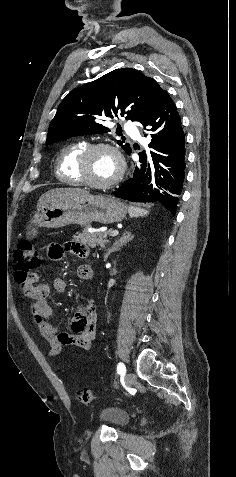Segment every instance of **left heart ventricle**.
Here are the masks:
<instances>
[{"label":"left heart ventricle","mask_w":236,"mask_h":477,"mask_svg":"<svg viewBox=\"0 0 236 477\" xmlns=\"http://www.w3.org/2000/svg\"><path fill=\"white\" fill-rule=\"evenodd\" d=\"M118 172V162L115 155L106 149L95 151L87 164V176L94 182H107Z\"/></svg>","instance_id":"left-heart-ventricle-1"}]
</instances>
